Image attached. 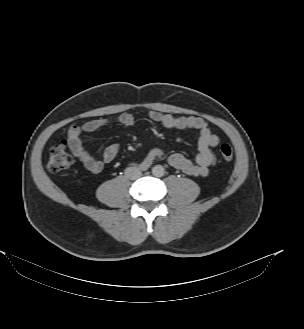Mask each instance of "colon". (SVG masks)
Returning a JSON list of instances; mask_svg holds the SVG:
<instances>
[{"mask_svg": "<svg viewBox=\"0 0 304 329\" xmlns=\"http://www.w3.org/2000/svg\"><path fill=\"white\" fill-rule=\"evenodd\" d=\"M220 155L224 160L233 158V149L229 144L220 146ZM73 164V157L67 149L66 142L54 146L48 158V169L54 174H64Z\"/></svg>", "mask_w": 304, "mask_h": 329, "instance_id": "obj_1", "label": "colon"}]
</instances>
